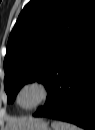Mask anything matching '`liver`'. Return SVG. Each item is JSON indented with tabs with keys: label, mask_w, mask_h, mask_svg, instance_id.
Wrapping results in <instances>:
<instances>
[{
	"label": "liver",
	"mask_w": 95,
	"mask_h": 130,
	"mask_svg": "<svg viewBox=\"0 0 95 130\" xmlns=\"http://www.w3.org/2000/svg\"><path fill=\"white\" fill-rule=\"evenodd\" d=\"M30 118H18V119H12L9 122V126L7 128V130H16L18 129L20 126H22L23 124L26 123L27 120H29Z\"/></svg>",
	"instance_id": "1"
}]
</instances>
